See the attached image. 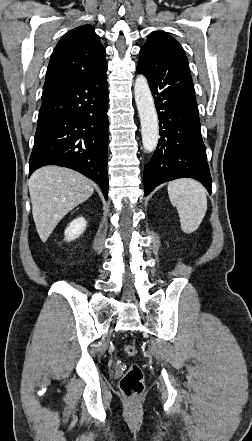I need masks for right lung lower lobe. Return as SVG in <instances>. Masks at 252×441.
Segmentation results:
<instances>
[{
  "label": "right lung lower lobe",
  "instance_id": "right-lung-lower-lobe-1",
  "mask_svg": "<svg viewBox=\"0 0 252 441\" xmlns=\"http://www.w3.org/2000/svg\"><path fill=\"white\" fill-rule=\"evenodd\" d=\"M107 108L106 72L44 89L29 175L46 165L71 168L97 182L107 199Z\"/></svg>",
  "mask_w": 252,
  "mask_h": 441
}]
</instances>
